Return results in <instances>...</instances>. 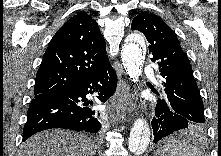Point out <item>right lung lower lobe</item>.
<instances>
[{
	"instance_id": "1",
	"label": "right lung lower lobe",
	"mask_w": 221,
	"mask_h": 156,
	"mask_svg": "<svg viewBox=\"0 0 221 156\" xmlns=\"http://www.w3.org/2000/svg\"><path fill=\"white\" fill-rule=\"evenodd\" d=\"M117 77L110 64L70 89L57 94L36 95L29 106L23 129L26 141L33 134L51 128H65L96 134L100 129L99 113L93 111L86 95L96 92L106 102L115 92Z\"/></svg>"
}]
</instances>
